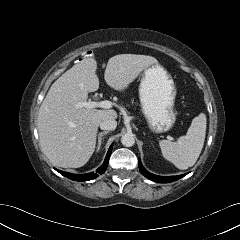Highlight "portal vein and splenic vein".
<instances>
[{"label": "portal vein and splenic vein", "instance_id": "portal-vein-and-splenic-vein-1", "mask_svg": "<svg viewBox=\"0 0 240 240\" xmlns=\"http://www.w3.org/2000/svg\"><path fill=\"white\" fill-rule=\"evenodd\" d=\"M77 108H87V109H92V108H104V109H110L112 107V102L108 100H103V101H89V102H78L76 104Z\"/></svg>", "mask_w": 240, "mask_h": 240}]
</instances>
